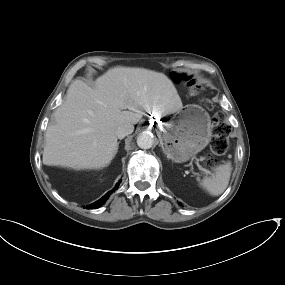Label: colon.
<instances>
[{"instance_id": "obj_1", "label": "colon", "mask_w": 285, "mask_h": 285, "mask_svg": "<svg viewBox=\"0 0 285 285\" xmlns=\"http://www.w3.org/2000/svg\"><path fill=\"white\" fill-rule=\"evenodd\" d=\"M175 81L179 79V75L175 76ZM201 104L206 109H212V103L207 100H201ZM214 123V136L210 142V154L203 160V164L208 167H213L216 165V159L214 158L217 155L224 154L228 149L227 143V134L230 131V127L224 121V118L220 115H217L213 119Z\"/></svg>"}]
</instances>
